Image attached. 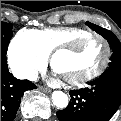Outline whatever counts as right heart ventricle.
<instances>
[{
  "label": "right heart ventricle",
  "instance_id": "1",
  "mask_svg": "<svg viewBox=\"0 0 121 121\" xmlns=\"http://www.w3.org/2000/svg\"><path fill=\"white\" fill-rule=\"evenodd\" d=\"M83 30L69 31L60 28L23 29L17 39L21 43L32 44L45 57L58 46H67L86 35Z\"/></svg>",
  "mask_w": 121,
  "mask_h": 121
}]
</instances>
